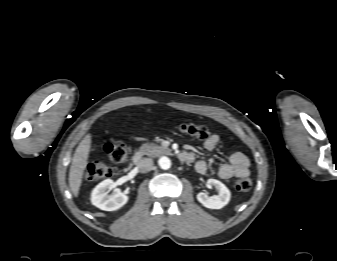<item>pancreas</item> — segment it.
Masks as SVG:
<instances>
[{
	"label": "pancreas",
	"instance_id": "pancreas-1",
	"mask_svg": "<svg viewBox=\"0 0 337 261\" xmlns=\"http://www.w3.org/2000/svg\"><path fill=\"white\" fill-rule=\"evenodd\" d=\"M169 152H170V149L168 148L155 145V144H149V143L143 144L139 149V153L141 155H147L150 157H157L163 154H168Z\"/></svg>",
	"mask_w": 337,
	"mask_h": 261
}]
</instances>
